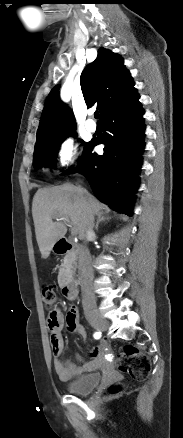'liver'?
I'll return each mask as SVG.
<instances>
[{
  "mask_svg": "<svg viewBox=\"0 0 183 438\" xmlns=\"http://www.w3.org/2000/svg\"><path fill=\"white\" fill-rule=\"evenodd\" d=\"M101 203L86 190L70 184L39 189L33 198L32 216L36 240L43 259L48 258L54 245L65 236L67 227L60 216L70 219L80 238L86 234L90 218L102 210Z\"/></svg>",
  "mask_w": 183,
  "mask_h": 438,
  "instance_id": "1",
  "label": "liver"
}]
</instances>
